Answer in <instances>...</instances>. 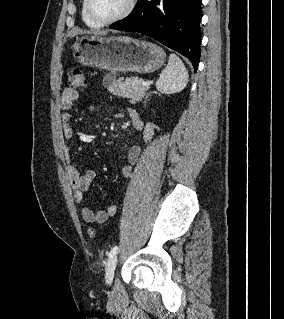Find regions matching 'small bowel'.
<instances>
[{"label": "small bowel", "instance_id": "c3829d8e", "mask_svg": "<svg viewBox=\"0 0 284 319\" xmlns=\"http://www.w3.org/2000/svg\"><path fill=\"white\" fill-rule=\"evenodd\" d=\"M77 98V91L70 87L64 89L60 98L59 108L61 110L63 134L66 139H70L73 136L69 110L72 108ZM129 113L134 129L143 132L144 143H150L154 137L156 126L150 122L143 123L139 113L134 109H130ZM141 152L142 147L139 145H134L129 148L127 153V163L121 169V175L124 178H129L131 176L133 167L138 162ZM95 176L96 174L93 170H87L86 172L81 173L74 165L70 164L68 166V177L74 191L75 201L81 208V216L83 220L87 223L101 224L115 215L116 206L110 205L105 209L94 211L86 205L85 193L89 190Z\"/></svg>", "mask_w": 284, "mask_h": 319}]
</instances>
